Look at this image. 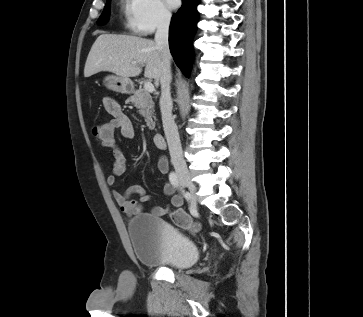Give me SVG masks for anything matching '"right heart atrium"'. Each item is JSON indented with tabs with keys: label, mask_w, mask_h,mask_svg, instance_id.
I'll list each match as a JSON object with an SVG mask.
<instances>
[{
	"label": "right heart atrium",
	"mask_w": 363,
	"mask_h": 317,
	"mask_svg": "<svg viewBox=\"0 0 363 317\" xmlns=\"http://www.w3.org/2000/svg\"><path fill=\"white\" fill-rule=\"evenodd\" d=\"M127 24L139 35H149L169 25L172 15L163 0H127Z\"/></svg>",
	"instance_id": "d8ad5b80"
}]
</instances>
